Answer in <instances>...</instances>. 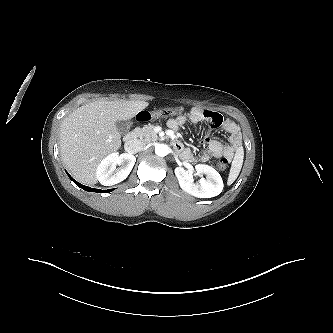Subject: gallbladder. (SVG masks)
<instances>
[{
    "instance_id": "gallbladder-1",
    "label": "gallbladder",
    "mask_w": 333,
    "mask_h": 333,
    "mask_svg": "<svg viewBox=\"0 0 333 333\" xmlns=\"http://www.w3.org/2000/svg\"><path fill=\"white\" fill-rule=\"evenodd\" d=\"M115 125L118 132L124 135L129 131L132 122L130 120H118L116 121Z\"/></svg>"
}]
</instances>
